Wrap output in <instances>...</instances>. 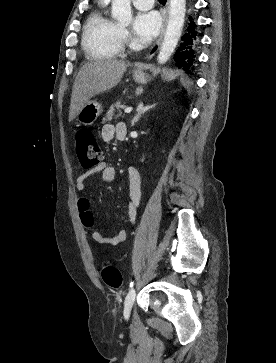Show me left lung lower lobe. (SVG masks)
I'll list each match as a JSON object with an SVG mask.
<instances>
[{
    "label": "left lung lower lobe",
    "instance_id": "1",
    "mask_svg": "<svg viewBox=\"0 0 276 363\" xmlns=\"http://www.w3.org/2000/svg\"><path fill=\"white\" fill-rule=\"evenodd\" d=\"M191 20L189 26L186 29L185 34L181 38L182 43L177 48L174 54V62L175 65L184 70L186 73H191L194 62H195V49H196V35L195 31V23L193 22V18L190 16Z\"/></svg>",
    "mask_w": 276,
    "mask_h": 363
}]
</instances>
